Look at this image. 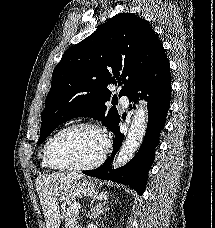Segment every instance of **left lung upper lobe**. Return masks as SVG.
Here are the masks:
<instances>
[{"instance_id":"obj_1","label":"left lung upper lobe","mask_w":215,"mask_h":228,"mask_svg":"<svg viewBox=\"0 0 215 228\" xmlns=\"http://www.w3.org/2000/svg\"><path fill=\"white\" fill-rule=\"evenodd\" d=\"M162 48L148 22L131 13L115 15L69 48L52 73L38 144L75 117L95 118L114 132L120 115L105 105L111 99L107 86L123 85L119 97L128 96Z\"/></svg>"}]
</instances>
